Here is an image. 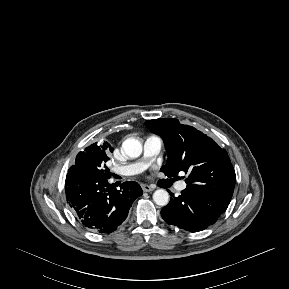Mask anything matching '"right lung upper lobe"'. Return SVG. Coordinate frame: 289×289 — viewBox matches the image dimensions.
<instances>
[{
    "mask_svg": "<svg viewBox=\"0 0 289 289\" xmlns=\"http://www.w3.org/2000/svg\"><path fill=\"white\" fill-rule=\"evenodd\" d=\"M104 148H106L107 150H109V151H113V148L112 147H110V145L107 143V142H105V143H103V145H102Z\"/></svg>",
    "mask_w": 289,
    "mask_h": 289,
    "instance_id": "1",
    "label": "right lung upper lobe"
}]
</instances>
